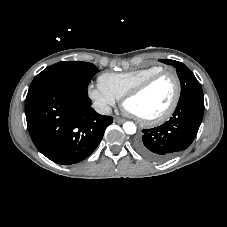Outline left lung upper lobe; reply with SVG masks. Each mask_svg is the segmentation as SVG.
I'll return each mask as SVG.
<instances>
[{
	"mask_svg": "<svg viewBox=\"0 0 227 227\" xmlns=\"http://www.w3.org/2000/svg\"><path fill=\"white\" fill-rule=\"evenodd\" d=\"M159 61L165 64H170L177 69V74L181 83L180 99L189 95L203 96V91L200 83L198 82L192 71L183 63L170 59H159Z\"/></svg>",
	"mask_w": 227,
	"mask_h": 227,
	"instance_id": "left-lung-upper-lobe-1",
	"label": "left lung upper lobe"
}]
</instances>
